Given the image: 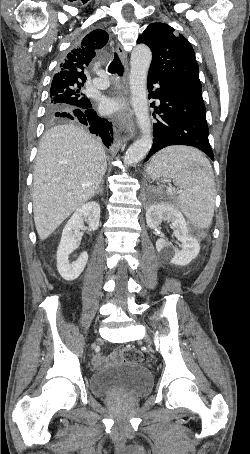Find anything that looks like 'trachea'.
Wrapping results in <instances>:
<instances>
[{
    "label": "trachea",
    "mask_w": 250,
    "mask_h": 454,
    "mask_svg": "<svg viewBox=\"0 0 250 454\" xmlns=\"http://www.w3.org/2000/svg\"><path fill=\"white\" fill-rule=\"evenodd\" d=\"M108 71L111 74L117 73L119 76L123 75L124 67H123L122 62H121L120 58L118 57L117 53H115L114 59L112 60V62L110 63V65L108 67Z\"/></svg>",
    "instance_id": "obj_1"
}]
</instances>
